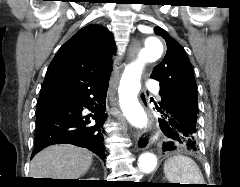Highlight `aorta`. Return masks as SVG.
I'll return each instance as SVG.
<instances>
[{
	"instance_id": "762f6f07",
	"label": "aorta",
	"mask_w": 240,
	"mask_h": 187,
	"mask_svg": "<svg viewBox=\"0 0 240 187\" xmlns=\"http://www.w3.org/2000/svg\"><path fill=\"white\" fill-rule=\"evenodd\" d=\"M160 38L149 35L145 38L138 59L129 64L121 77L119 86V103L127 120L137 128L147 125V116L138 102L137 95L141 89L140 79L146 62L158 60L163 53ZM157 166V157L152 152H145L138 159V167L144 173L152 172Z\"/></svg>"
}]
</instances>
